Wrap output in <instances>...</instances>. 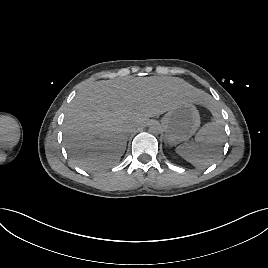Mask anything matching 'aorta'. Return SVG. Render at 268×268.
Returning a JSON list of instances; mask_svg holds the SVG:
<instances>
[{"mask_svg":"<svg viewBox=\"0 0 268 268\" xmlns=\"http://www.w3.org/2000/svg\"><path fill=\"white\" fill-rule=\"evenodd\" d=\"M162 125L158 121H153L149 124L148 131L151 134H159L162 132Z\"/></svg>","mask_w":268,"mask_h":268,"instance_id":"obj_1","label":"aorta"}]
</instances>
